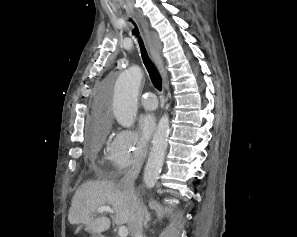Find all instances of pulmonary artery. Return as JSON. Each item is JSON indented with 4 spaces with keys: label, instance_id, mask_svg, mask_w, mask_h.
<instances>
[{
    "label": "pulmonary artery",
    "instance_id": "e3ab8cb5",
    "mask_svg": "<svg viewBox=\"0 0 297 237\" xmlns=\"http://www.w3.org/2000/svg\"><path fill=\"white\" fill-rule=\"evenodd\" d=\"M138 76H140V72H138ZM140 102L148 110H153L158 106L155 96L149 92L142 95Z\"/></svg>",
    "mask_w": 297,
    "mask_h": 237
}]
</instances>
